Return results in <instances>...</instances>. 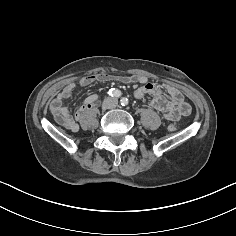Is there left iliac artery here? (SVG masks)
I'll list each match as a JSON object with an SVG mask.
<instances>
[{"mask_svg":"<svg viewBox=\"0 0 236 236\" xmlns=\"http://www.w3.org/2000/svg\"><path fill=\"white\" fill-rule=\"evenodd\" d=\"M120 103L122 106H126L128 104V99L123 97L121 100H120Z\"/></svg>","mask_w":236,"mask_h":236,"instance_id":"obj_1","label":"left iliac artery"}]
</instances>
